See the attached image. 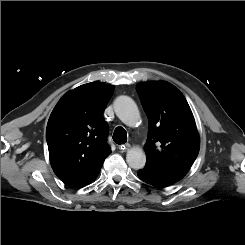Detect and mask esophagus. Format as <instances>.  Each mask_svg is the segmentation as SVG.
Segmentation results:
<instances>
[{
	"instance_id": "obj_1",
	"label": "esophagus",
	"mask_w": 245,
	"mask_h": 245,
	"mask_svg": "<svg viewBox=\"0 0 245 245\" xmlns=\"http://www.w3.org/2000/svg\"><path fill=\"white\" fill-rule=\"evenodd\" d=\"M118 148L121 150V151H126L130 148V144L129 143H125V144H121L118 146Z\"/></svg>"
}]
</instances>
